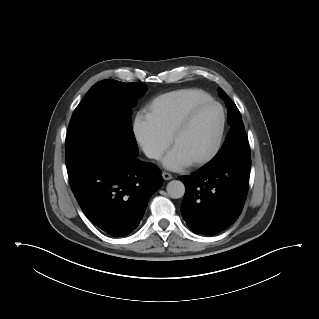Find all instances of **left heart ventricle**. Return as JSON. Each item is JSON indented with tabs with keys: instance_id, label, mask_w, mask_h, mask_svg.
<instances>
[{
	"instance_id": "1",
	"label": "left heart ventricle",
	"mask_w": 319,
	"mask_h": 319,
	"mask_svg": "<svg viewBox=\"0 0 319 319\" xmlns=\"http://www.w3.org/2000/svg\"><path fill=\"white\" fill-rule=\"evenodd\" d=\"M220 122L217 106L204 107L196 114L188 130L176 139L172 148L189 162L207 156L215 147Z\"/></svg>"
}]
</instances>
